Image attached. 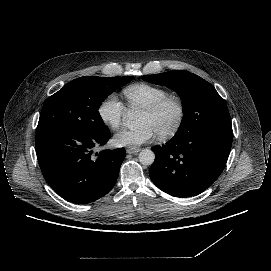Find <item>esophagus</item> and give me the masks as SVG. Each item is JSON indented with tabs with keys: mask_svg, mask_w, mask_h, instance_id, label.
Segmentation results:
<instances>
[{
	"mask_svg": "<svg viewBox=\"0 0 271 271\" xmlns=\"http://www.w3.org/2000/svg\"><path fill=\"white\" fill-rule=\"evenodd\" d=\"M139 151H140V148H127L126 149V152L130 153V154L137 153Z\"/></svg>",
	"mask_w": 271,
	"mask_h": 271,
	"instance_id": "obj_1",
	"label": "esophagus"
}]
</instances>
